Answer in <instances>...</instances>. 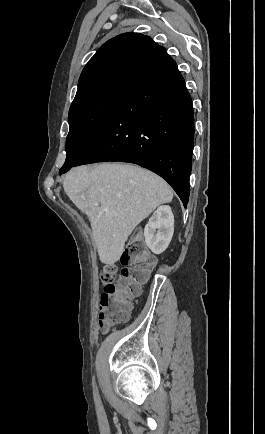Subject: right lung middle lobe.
Masks as SVG:
<instances>
[{"label":"right lung middle lobe","mask_w":265,"mask_h":434,"mask_svg":"<svg viewBox=\"0 0 265 434\" xmlns=\"http://www.w3.org/2000/svg\"><path fill=\"white\" fill-rule=\"evenodd\" d=\"M134 76L132 74L110 75L78 86L69 110L67 157L59 171L60 174L73 167L90 148Z\"/></svg>","instance_id":"1"}]
</instances>
